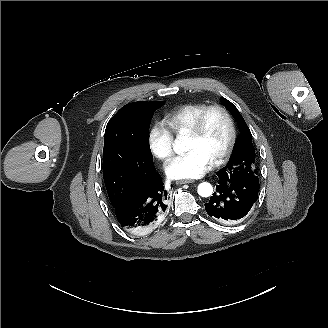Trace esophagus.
Returning <instances> with one entry per match:
<instances>
[{"label":"esophagus","mask_w":328,"mask_h":328,"mask_svg":"<svg viewBox=\"0 0 328 328\" xmlns=\"http://www.w3.org/2000/svg\"><path fill=\"white\" fill-rule=\"evenodd\" d=\"M195 180L193 179H179L176 181V184L177 185H180V184H187V183H194Z\"/></svg>","instance_id":"34e87169"}]
</instances>
